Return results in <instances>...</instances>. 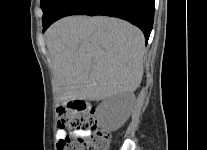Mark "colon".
<instances>
[{"label":"colon","mask_w":207,"mask_h":150,"mask_svg":"<svg viewBox=\"0 0 207 150\" xmlns=\"http://www.w3.org/2000/svg\"><path fill=\"white\" fill-rule=\"evenodd\" d=\"M69 108L57 110L58 126L62 129L80 131L96 130L97 120L94 110L86 109L84 100H73ZM109 134L97 131L95 134L86 136H67L58 141V150H106L109 142Z\"/></svg>","instance_id":"5ec220e1"}]
</instances>
